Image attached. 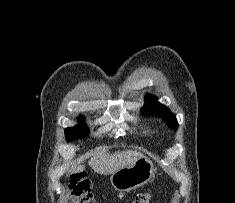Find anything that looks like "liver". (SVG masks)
<instances>
[{
	"label": "liver",
	"mask_w": 235,
	"mask_h": 203,
	"mask_svg": "<svg viewBox=\"0 0 235 203\" xmlns=\"http://www.w3.org/2000/svg\"><path fill=\"white\" fill-rule=\"evenodd\" d=\"M141 156V153L133 150L118 151L114 154L101 152L96 153L91 158L89 165L95 172L101 175H110L122 167L134 164ZM84 170V165H75L69 172H82Z\"/></svg>",
	"instance_id": "1"
}]
</instances>
